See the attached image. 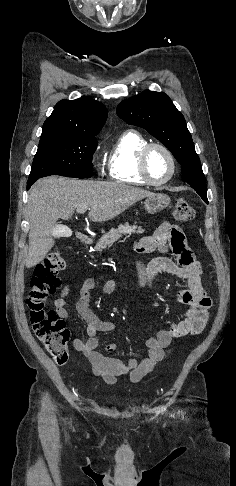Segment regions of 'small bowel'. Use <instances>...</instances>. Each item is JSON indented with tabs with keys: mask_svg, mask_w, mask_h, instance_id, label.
<instances>
[{
	"mask_svg": "<svg viewBox=\"0 0 236 486\" xmlns=\"http://www.w3.org/2000/svg\"><path fill=\"white\" fill-rule=\"evenodd\" d=\"M136 251L140 253L171 251L176 256V261L167 257H157L147 265L136 261L138 285L142 290H151L159 273L175 275L187 283V289L177 292L176 298L188 309L181 321L172 323L167 329L158 331L145 341L147 354L144 358H131L124 363L120 359L105 356L97 351V334L113 332L116 326L113 322L100 319L92 311L90 294L95 289L96 283L92 278L86 279L80 288L76 303L77 312L87 323L86 336L84 339H74L73 347L83 353L93 373L111 385L115 384L120 376L126 374L132 383H137L148 376L159 363L169 358L170 345L174 339L200 334L209 318L208 309L211 300L201 283V265L195 260L193 252L187 246L185 235L178 226L163 222L151 235L137 242ZM116 284L114 279L107 281L101 287V292L104 294L112 292ZM69 291L70 287L65 285L54 300L55 312L61 319H66L69 315L66 302ZM115 349L114 343L106 346L107 352H113Z\"/></svg>",
	"mask_w": 236,
	"mask_h": 486,
	"instance_id": "c3829d8e",
	"label": "small bowel"
}]
</instances>
